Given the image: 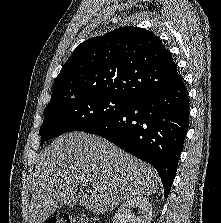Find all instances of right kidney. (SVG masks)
Instances as JSON below:
<instances>
[{
  "label": "right kidney",
  "mask_w": 221,
  "mask_h": 223,
  "mask_svg": "<svg viewBox=\"0 0 221 223\" xmlns=\"http://www.w3.org/2000/svg\"><path fill=\"white\" fill-rule=\"evenodd\" d=\"M137 208L140 216H135L132 209ZM152 205L143 196H136L124 202L116 212L113 223H151Z\"/></svg>",
  "instance_id": "ca27d5eb"
}]
</instances>
